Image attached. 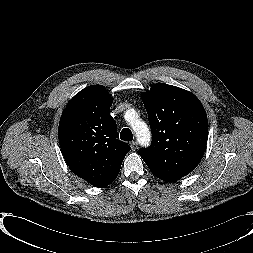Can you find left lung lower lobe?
Wrapping results in <instances>:
<instances>
[{
    "mask_svg": "<svg viewBox=\"0 0 253 253\" xmlns=\"http://www.w3.org/2000/svg\"><path fill=\"white\" fill-rule=\"evenodd\" d=\"M157 177L166 182H173L176 181L177 179H180L179 177H162V176Z\"/></svg>",
    "mask_w": 253,
    "mask_h": 253,
    "instance_id": "left-lung-lower-lobe-1",
    "label": "left lung lower lobe"
}]
</instances>
